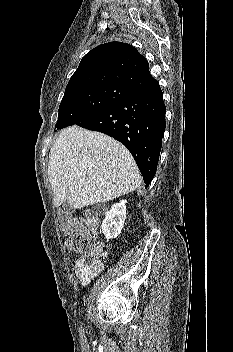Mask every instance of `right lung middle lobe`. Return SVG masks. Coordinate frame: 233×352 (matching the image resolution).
Instances as JSON below:
<instances>
[{
  "mask_svg": "<svg viewBox=\"0 0 233 352\" xmlns=\"http://www.w3.org/2000/svg\"><path fill=\"white\" fill-rule=\"evenodd\" d=\"M135 92L132 88L115 84L91 86L69 91L62 98L55 128L62 129L79 124Z\"/></svg>",
  "mask_w": 233,
  "mask_h": 352,
  "instance_id": "dd1d6c3e",
  "label": "right lung middle lobe"
}]
</instances>
